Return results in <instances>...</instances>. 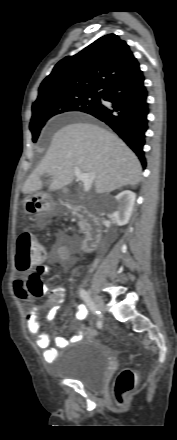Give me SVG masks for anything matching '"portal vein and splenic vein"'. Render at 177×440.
<instances>
[{
	"label": "portal vein and splenic vein",
	"mask_w": 177,
	"mask_h": 440,
	"mask_svg": "<svg viewBox=\"0 0 177 440\" xmlns=\"http://www.w3.org/2000/svg\"><path fill=\"white\" fill-rule=\"evenodd\" d=\"M74 174L83 183L84 191L88 192L93 184L95 173H83L78 167H74Z\"/></svg>",
	"instance_id": "18ae733b"
}]
</instances>
